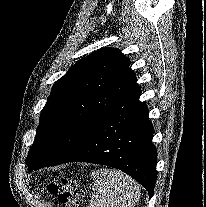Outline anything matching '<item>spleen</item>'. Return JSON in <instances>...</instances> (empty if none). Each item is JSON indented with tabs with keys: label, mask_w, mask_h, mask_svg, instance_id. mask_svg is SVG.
<instances>
[{
	"label": "spleen",
	"mask_w": 206,
	"mask_h": 207,
	"mask_svg": "<svg viewBox=\"0 0 206 207\" xmlns=\"http://www.w3.org/2000/svg\"><path fill=\"white\" fill-rule=\"evenodd\" d=\"M94 185L90 207H134L140 199V187L116 169H98L91 173Z\"/></svg>",
	"instance_id": "3e777b00"
}]
</instances>
